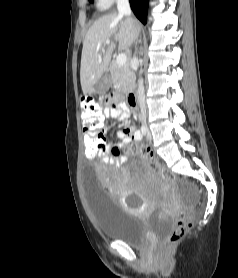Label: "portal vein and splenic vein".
Segmentation results:
<instances>
[{
  "mask_svg": "<svg viewBox=\"0 0 238 278\" xmlns=\"http://www.w3.org/2000/svg\"><path fill=\"white\" fill-rule=\"evenodd\" d=\"M109 43H110L109 41H106L105 45H108ZM126 61H127V57H126L125 53L118 54L117 59H116V63L119 66H123L126 63Z\"/></svg>",
  "mask_w": 238,
  "mask_h": 278,
  "instance_id": "obj_1",
  "label": "portal vein and splenic vein"
}]
</instances>
